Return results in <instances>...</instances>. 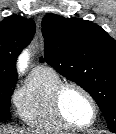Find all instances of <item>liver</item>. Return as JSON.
Instances as JSON below:
<instances>
[{"label": "liver", "instance_id": "obj_1", "mask_svg": "<svg viewBox=\"0 0 116 134\" xmlns=\"http://www.w3.org/2000/svg\"><path fill=\"white\" fill-rule=\"evenodd\" d=\"M0 134H34L29 130H17L14 128H9V129H2L0 128Z\"/></svg>", "mask_w": 116, "mask_h": 134}]
</instances>
